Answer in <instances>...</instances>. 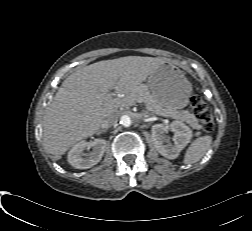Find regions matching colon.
<instances>
[{"instance_id":"colon-1","label":"colon","mask_w":252,"mask_h":231,"mask_svg":"<svg viewBox=\"0 0 252 231\" xmlns=\"http://www.w3.org/2000/svg\"><path fill=\"white\" fill-rule=\"evenodd\" d=\"M190 108L195 113L199 120L201 128L205 132H210L213 129L214 121L211 109L205 103V101L198 95H192L190 97Z\"/></svg>"}]
</instances>
